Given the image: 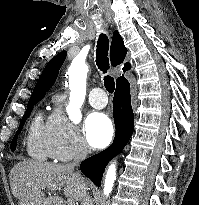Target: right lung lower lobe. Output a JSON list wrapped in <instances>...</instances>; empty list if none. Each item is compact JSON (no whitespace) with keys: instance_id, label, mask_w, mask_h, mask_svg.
<instances>
[{"instance_id":"right-lung-lower-lobe-1","label":"right lung lower lobe","mask_w":199,"mask_h":205,"mask_svg":"<svg viewBox=\"0 0 199 205\" xmlns=\"http://www.w3.org/2000/svg\"><path fill=\"white\" fill-rule=\"evenodd\" d=\"M113 110L116 133L112 145L104 151L87 158L80 165L81 172L90 178L97 186L101 185L106 165L123 150L134 130V114L130 100V85L126 79H123L116 85L113 98Z\"/></svg>"}]
</instances>
